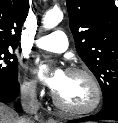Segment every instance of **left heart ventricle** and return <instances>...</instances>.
Segmentation results:
<instances>
[{
	"label": "left heart ventricle",
	"instance_id": "1",
	"mask_svg": "<svg viewBox=\"0 0 118 123\" xmlns=\"http://www.w3.org/2000/svg\"><path fill=\"white\" fill-rule=\"evenodd\" d=\"M55 93L64 104L71 107H84L93 100L90 83L79 74L66 73L63 85Z\"/></svg>",
	"mask_w": 118,
	"mask_h": 123
}]
</instances>
